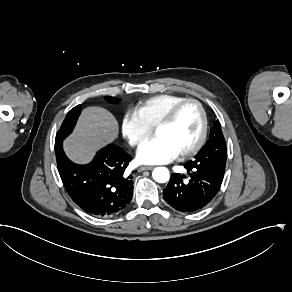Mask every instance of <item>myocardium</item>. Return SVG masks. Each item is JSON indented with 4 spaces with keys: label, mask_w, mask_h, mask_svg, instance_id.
Segmentation results:
<instances>
[{
    "label": "myocardium",
    "mask_w": 292,
    "mask_h": 292,
    "mask_svg": "<svg viewBox=\"0 0 292 292\" xmlns=\"http://www.w3.org/2000/svg\"><path fill=\"white\" fill-rule=\"evenodd\" d=\"M194 104L200 114V131H199V135L197 137V140L189 147L185 148L184 150L181 151V155H189L191 153H194L196 151H198L201 146L204 143L205 137H206V133H207V117H206V113L205 110L202 106V104L193 98H184L182 100H179L177 102H175L174 104H172L156 121L155 125H154V129L168 124L170 123L176 116V113L178 112V110L184 106L185 104Z\"/></svg>",
    "instance_id": "myocardium-1"
}]
</instances>
